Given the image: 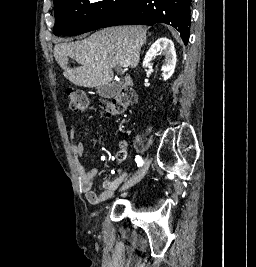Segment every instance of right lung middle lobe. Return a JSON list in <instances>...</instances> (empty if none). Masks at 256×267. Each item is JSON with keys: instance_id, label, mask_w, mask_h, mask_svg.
<instances>
[{"instance_id": "1", "label": "right lung middle lobe", "mask_w": 256, "mask_h": 267, "mask_svg": "<svg viewBox=\"0 0 256 267\" xmlns=\"http://www.w3.org/2000/svg\"><path fill=\"white\" fill-rule=\"evenodd\" d=\"M133 0L54 1L55 35H76L102 28L119 17Z\"/></svg>"}]
</instances>
